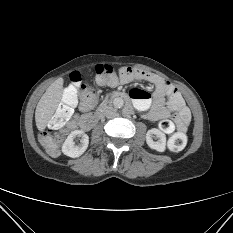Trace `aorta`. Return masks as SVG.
<instances>
[{
	"label": "aorta",
	"instance_id": "1",
	"mask_svg": "<svg viewBox=\"0 0 233 233\" xmlns=\"http://www.w3.org/2000/svg\"><path fill=\"white\" fill-rule=\"evenodd\" d=\"M113 105L115 106V108H122L124 105V100L122 98H115L113 101Z\"/></svg>",
	"mask_w": 233,
	"mask_h": 233
}]
</instances>
